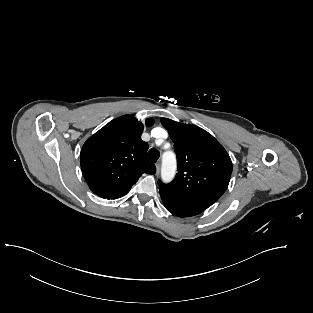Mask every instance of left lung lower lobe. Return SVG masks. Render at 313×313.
Listing matches in <instances>:
<instances>
[{"mask_svg":"<svg viewBox=\"0 0 313 313\" xmlns=\"http://www.w3.org/2000/svg\"><path fill=\"white\" fill-rule=\"evenodd\" d=\"M160 195L165 208L172 214L178 217H191L200 214L205 209L184 203L163 191H160Z\"/></svg>","mask_w":313,"mask_h":313,"instance_id":"0a47b994","label":"left lung lower lobe"}]
</instances>
